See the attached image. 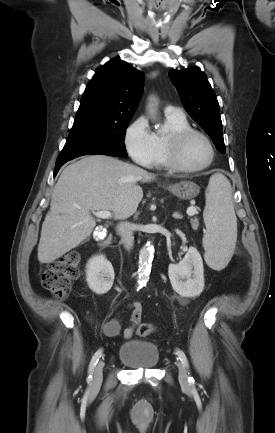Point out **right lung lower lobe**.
<instances>
[{
	"label": "right lung lower lobe",
	"mask_w": 275,
	"mask_h": 433,
	"mask_svg": "<svg viewBox=\"0 0 275 433\" xmlns=\"http://www.w3.org/2000/svg\"><path fill=\"white\" fill-rule=\"evenodd\" d=\"M67 161L61 162V163H56V168H55V173L54 176H56L57 172L59 171L60 167L65 164Z\"/></svg>",
	"instance_id": "obj_1"
}]
</instances>
